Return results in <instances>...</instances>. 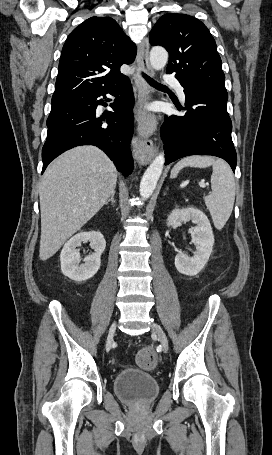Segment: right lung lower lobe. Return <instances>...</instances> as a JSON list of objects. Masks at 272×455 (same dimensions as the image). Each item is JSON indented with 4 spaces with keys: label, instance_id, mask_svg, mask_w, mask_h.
<instances>
[{
    "label": "right lung lower lobe",
    "instance_id": "obj_1",
    "mask_svg": "<svg viewBox=\"0 0 272 455\" xmlns=\"http://www.w3.org/2000/svg\"><path fill=\"white\" fill-rule=\"evenodd\" d=\"M120 84L97 90L85 96L53 105L47 119V139L42 149L43 169L58 155L78 145H95L103 150L124 176L134 164L130 151L134 117V96L127 79ZM118 91H122L118 96ZM118 96L111 105L114 112L97 117L98 105H106L100 96Z\"/></svg>",
    "mask_w": 272,
    "mask_h": 455
}]
</instances>
